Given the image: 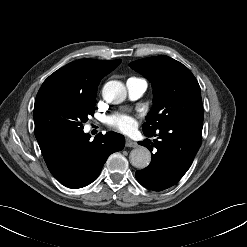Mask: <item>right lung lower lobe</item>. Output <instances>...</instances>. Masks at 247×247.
Returning a JSON list of instances; mask_svg holds the SVG:
<instances>
[{"instance_id": "1", "label": "right lung lower lobe", "mask_w": 247, "mask_h": 247, "mask_svg": "<svg viewBox=\"0 0 247 247\" xmlns=\"http://www.w3.org/2000/svg\"><path fill=\"white\" fill-rule=\"evenodd\" d=\"M42 155L52 175L64 186L81 188L100 174L109 155L124 148L122 135L107 132L93 141L82 130H35Z\"/></svg>"}]
</instances>
